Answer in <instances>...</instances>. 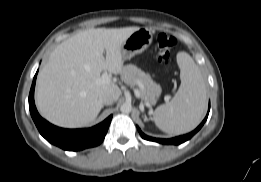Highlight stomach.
I'll return each instance as SVG.
<instances>
[{"label": "stomach", "mask_w": 261, "mask_h": 182, "mask_svg": "<svg viewBox=\"0 0 261 182\" xmlns=\"http://www.w3.org/2000/svg\"><path fill=\"white\" fill-rule=\"evenodd\" d=\"M152 40L153 32L149 28H139L133 32L121 46L123 60H129L134 55L145 51L151 45Z\"/></svg>", "instance_id": "obj_1"}]
</instances>
